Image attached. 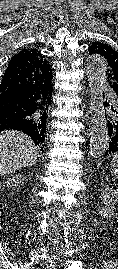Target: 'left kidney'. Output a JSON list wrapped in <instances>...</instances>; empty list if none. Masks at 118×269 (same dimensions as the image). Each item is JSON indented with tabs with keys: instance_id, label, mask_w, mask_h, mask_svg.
Wrapping results in <instances>:
<instances>
[{
	"instance_id": "1",
	"label": "left kidney",
	"mask_w": 118,
	"mask_h": 269,
	"mask_svg": "<svg viewBox=\"0 0 118 269\" xmlns=\"http://www.w3.org/2000/svg\"><path fill=\"white\" fill-rule=\"evenodd\" d=\"M101 191L102 203L101 206L98 207L99 213L103 217L111 219L114 214L115 204L118 202V189L115 190L113 188H109L108 186L102 185Z\"/></svg>"
}]
</instances>
